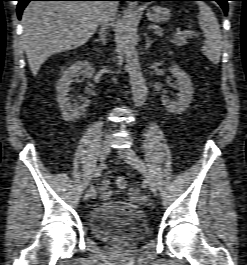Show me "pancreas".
Masks as SVG:
<instances>
[{
    "instance_id": "1",
    "label": "pancreas",
    "mask_w": 247,
    "mask_h": 265,
    "mask_svg": "<svg viewBox=\"0 0 247 265\" xmlns=\"http://www.w3.org/2000/svg\"><path fill=\"white\" fill-rule=\"evenodd\" d=\"M192 34L186 33L181 35L173 36L172 39H169V41L176 46H184L188 43V39L192 38Z\"/></svg>"
}]
</instances>
